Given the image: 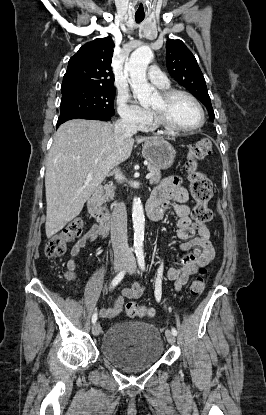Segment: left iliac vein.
I'll use <instances>...</instances> for the list:
<instances>
[{
    "label": "left iliac vein",
    "instance_id": "1",
    "mask_svg": "<svg viewBox=\"0 0 266 415\" xmlns=\"http://www.w3.org/2000/svg\"><path fill=\"white\" fill-rule=\"evenodd\" d=\"M135 271H136V261H135L134 257H131L129 262H128V273L132 274ZM165 335H166L167 341L170 344L175 343L176 339H175V336L173 335V333L171 331L166 330Z\"/></svg>",
    "mask_w": 266,
    "mask_h": 415
}]
</instances>
